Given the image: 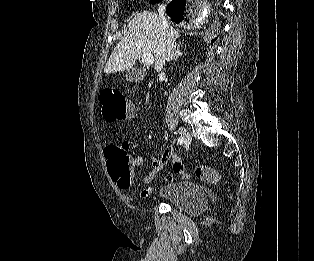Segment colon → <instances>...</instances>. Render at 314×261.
<instances>
[{
	"label": "colon",
	"instance_id": "obj_1",
	"mask_svg": "<svg viewBox=\"0 0 314 261\" xmlns=\"http://www.w3.org/2000/svg\"><path fill=\"white\" fill-rule=\"evenodd\" d=\"M99 100L102 106V117L109 123L123 121L132 114L130 103L119 89H104L100 94ZM104 153L107 172L112 180L122 188L129 187L131 185L133 163L128 146L111 145L105 148ZM195 175L206 183H215L221 179V175L208 166H197Z\"/></svg>",
	"mask_w": 314,
	"mask_h": 261
}]
</instances>
